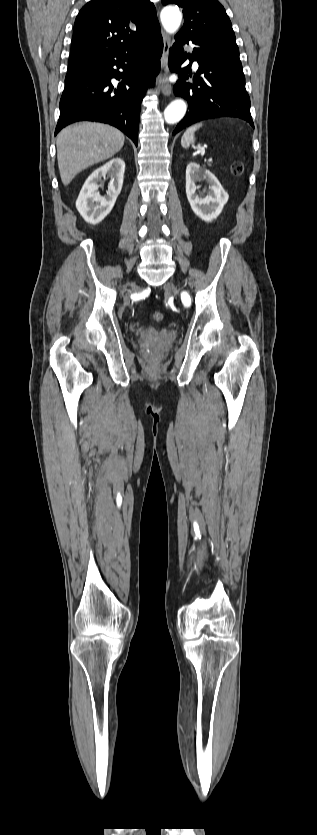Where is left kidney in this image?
<instances>
[{"label":"left kidney","mask_w":317,"mask_h":835,"mask_svg":"<svg viewBox=\"0 0 317 835\" xmlns=\"http://www.w3.org/2000/svg\"><path fill=\"white\" fill-rule=\"evenodd\" d=\"M202 180L209 184L210 191L197 193L196 183ZM186 195L195 215L206 222L215 220L229 199L217 178L196 162H190L186 168Z\"/></svg>","instance_id":"5707ae66"}]
</instances>
